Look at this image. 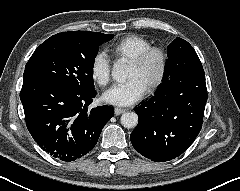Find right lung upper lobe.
Here are the masks:
<instances>
[{
    "instance_id": "right-lung-upper-lobe-1",
    "label": "right lung upper lobe",
    "mask_w": 240,
    "mask_h": 191,
    "mask_svg": "<svg viewBox=\"0 0 240 191\" xmlns=\"http://www.w3.org/2000/svg\"><path fill=\"white\" fill-rule=\"evenodd\" d=\"M56 35L64 36V37H74L79 39H88V38H100L105 36L106 34L100 32H90V31H72V32H62Z\"/></svg>"
}]
</instances>
